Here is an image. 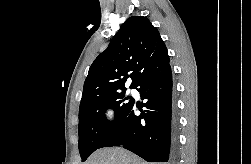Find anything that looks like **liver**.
Segmentation results:
<instances>
[{"mask_svg": "<svg viewBox=\"0 0 251 164\" xmlns=\"http://www.w3.org/2000/svg\"><path fill=\"white\" fill-rule=\"evenodd\" d=\"M85 164H147L139 157L120 147L95 151Z\"/></svg>", "mask_w": 251, "mask_h": 164, "instance_id": "1", "label": "liver"}]
</instances>
